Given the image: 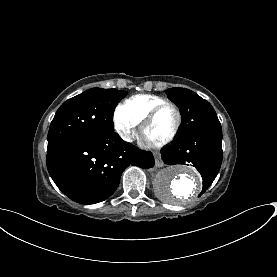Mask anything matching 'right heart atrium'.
Here are the masks:
<instances>
[{
	"label": "right heart atrium",
	"mask_w": 277,
	"mask_h": 277,
	"mask_svg": "<svg viewBox=\"0 0 277 277\" xmlns=\"http://www.w3.org/2000/svg\"><path fill=\"white\" fill-rule=\"evenodd\" d=\"M138 123L130 116L117 112L115 115V128L122 139L131 141L136 134Z\"/></svg>",
	"instance_id": "1"
}]
</instances>
